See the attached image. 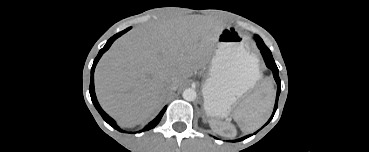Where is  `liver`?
Listing matches in <instances>:
<instances>
[{
  "label": "liver",
  "instance_id": "6515ba94",
  "mask_svg": "<svg viewBox=\"0 0 369 152\" xmlns=\"http://www.w3.org/2000/svg\"><path fill=\"white\" fill-rule=\"evenodd\" d=\"M221 30L211 20L187 18L132 29L96 67L100 105L122 127L145 123L165 101L167 82L180 86L204 64Z\"/></svg>",
  "mask_w": 369,
  "mask_h": 152
}]
</instances>
